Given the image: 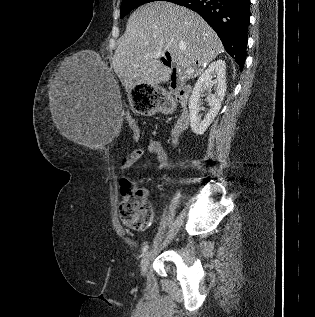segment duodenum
Instances as JSON below:
<instances>
[{
	"label": "duodenum",
	"instance_id": "410a0bca",
	"mask_svg": "<svg viewBox=\"0 0 315 317\" xmlns=\"http://www.w3.org/2000/svg\"><path fill=\"white\" fill-rule=\"evenodd\" d=\"M170 86L171 89L174 92H179L181 88L179 77L174 74L170 80ZM180 100L181 103L184 104L186 101V96L183 93H180ZM189 125V115L186 109H183L182 113L177 119V122L175 124L173 135L176 137L181 131L185 130Z\"/></svg>",
	"mask_w": 315,
	"mask_h": 317
}]
</instances>
